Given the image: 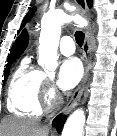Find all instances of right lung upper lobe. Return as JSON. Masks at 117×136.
<instances>
[{
	"mask_svg": "<svg viewBox=\"0 0 117 136\" xmlns=\"http://www.w3.org/2000/svg\"><path fill=\"white\" fill-rule=\"evenodd\" d=\"M28 44V36L26 30L22 32V34L15 41L10 54L8 56V60L16 59L26 48Z\"/></svg>",
	"mask_w": 117,
	"mask_h": 136,
	"instance_id": "1",
	"label": "right lung upper lobe"
}]
</instances>
